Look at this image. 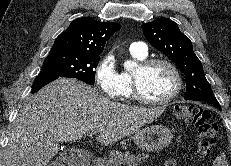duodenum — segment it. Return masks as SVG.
<instances>
[{
	"label": "duodenum",
	"instance_id": "duodenum-1",
	"mask_svg": "<svg viewBox=\"0 0 231 166\" xmlns=\"http://www.w3.org/2000/svg\"><path fill=\"white\" fill-rule=\"evenodd\" d=\"M65 166H89L91 155L81 151H67L63 157Z\"/></svg>",
	"mask_w": 231,
	"mask_h": 166
}]
</instances>
